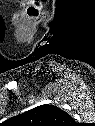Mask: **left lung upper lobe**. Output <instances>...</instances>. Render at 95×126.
Wrapping results in <instances>:
<instances>
[{"label":"left lung upper lobe","mask_w":95,"mask_h":126,"mask_svg":"<svg viewBox=\"0 0 95 126\" xmlns=\"http://www.w3.org/2000/svg\"><path fill=\"white\" fill-rule=\"evenodd\" d=\"M71 116L54 105H40L15 117L19 126H69Z\"/></svg>","instance_id":"left-lung-upper-lobe-1"}]
</instances>
